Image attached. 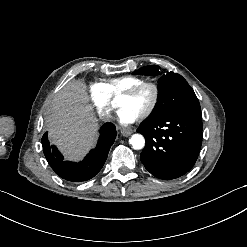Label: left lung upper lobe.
Instances as JSON below:
<instances>
[{
    "instance_id": "5c2ea615",
    "label": "left lung upper lobe",
    "mask_w": 247,
    "mask_h": 247,
    "mask_svg": "<svg viewBox=\"0 0 247 247\" xmlns=\"http://www.w3.org/2000/svg\"><path fill=\"white\" fill-rule=\"evenodd\" d=\"M159 66L149 65L133 74L156 76ZM191 112L201 115L199 101L186 80L179 74L169 72L159 79L157 104L145 120L152 122L174 112Z\"/></svg>"
}]
</instances>
